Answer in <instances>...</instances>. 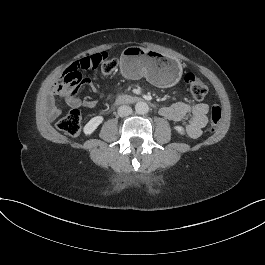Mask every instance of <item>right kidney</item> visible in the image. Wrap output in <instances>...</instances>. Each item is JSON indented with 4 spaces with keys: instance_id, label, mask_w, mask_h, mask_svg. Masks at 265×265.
Returning <instances> with one entry per match:
<instances>
[{
    "instance_id": "1",
    "label": "right kidney",
    "mask_w": 265,
    "mask_h": 265,
    "mask_svg": "<svg viewBox=\"0 0 265 265\" xmlns=\"http://www.w3.org/2000/svg\"><path fill=\"white\" fill-rule=\"evenodd\" d=\"M103 122L102 116L93 117L83 128V132L85 135L92 134L97 127Z\"/></svg>"
}]
</instances>
